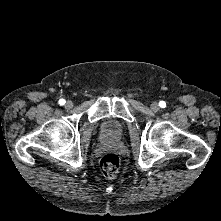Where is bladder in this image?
I'll return each mask as SVG.
<instances>
[{
  "mask_svg": "<svg viewBox=\"0 0 221 221\" xmlns=\"http://www.w3.org/2000/svg\"><path fill=\"white\" fill-rule=\"evenodd\" d=\"M123 133V126L114 120L107 119L101 124L100 134L104 140H117L122 137Z\"/></svg>",
  "mask_w": 221,
  "mask_h": 221,
  "instance_id": "bladder-1",
  "label": "bladder"
}]
</instances>
